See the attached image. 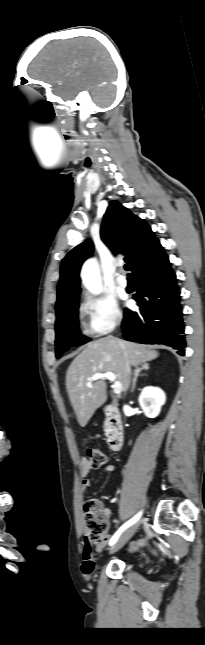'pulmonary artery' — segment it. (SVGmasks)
Wrapping results in <instances>:
<instances>
[{
  "instance_id": "pulmonary-artery-1",
  "label": "pulmonary artery",
  "mask_w": 205,
  "mask_h": 645,
  "mask_svg": "<svg viewBox=\"0 0 205 645\" xmlns=\"http://www.w3.org/2000/svg\"><path fill=\"white\" fill-rule=\"evenodd\" d=\"M116 282L122 288H126L128 286V280L126 279V277L123 274H118L117 275Z\"/></svg>"
}]
</instances>
